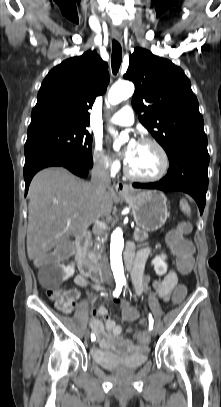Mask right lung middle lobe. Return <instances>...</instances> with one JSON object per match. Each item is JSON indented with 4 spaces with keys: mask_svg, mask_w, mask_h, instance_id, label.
Wrapping results in <instances>:
<instances>
[{
    "mask_svg": "<svg viewBox=\"0 0 221 407\" xmlns=\"http://www.w3.org/2000/svg\"><path fill=\"white\" fill-rule=\"evenodd\" d=\"M92 137L86 127L55 124L28 128L25 156L39 149H56L92 164Z\"/></svg>",
    "mask_w": 221,
    "mask_h": 407,
    "instance_id": "obj_1",
    "label": "right lung middle lobe"
}]
</instances>
